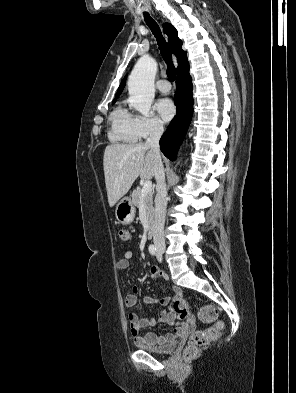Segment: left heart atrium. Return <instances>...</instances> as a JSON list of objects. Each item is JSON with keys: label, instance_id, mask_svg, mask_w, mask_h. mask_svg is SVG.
Returning <instances> with one entry per match:
<instances>
[{"label": "left heart atrium", "instance_id": "39dd6f15", "mask_svg": "<svg viewBox=\"0 0 296 393\" xmlns=\"http://www.w3.org/2000/svg\"><path fill=\"white\" fill-rule=\"evenodd\" d=\"M155 108L161 118L166 122L170 121L176 113L175 104L169 98L159 99L155 104Z\"/></svg>", "mask_w": 296, "mask_h": 393}]
</instances>
